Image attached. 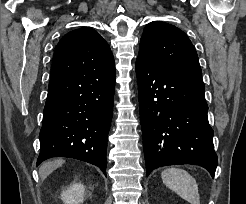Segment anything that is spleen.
<instances>
[{
  "label": "spleen",
  "mask_w": 246,
  "mask_h": 204,
  "mask_svg": "<svg viewBox=\"0 0 246 204\" xmlns=\"http://www.w3.org/2000/svg\"><path fill=\"white\" fill-rule=\"evenodd\" d=\"M163 183L190 204H200L198 185L186 170L170 167L162 171Z\"/></svg>",
  "instance_id": "1"
}]
</instances>
